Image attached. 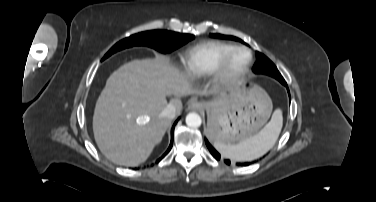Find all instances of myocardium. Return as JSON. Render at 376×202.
<instances>
[{"instance_id":"1","label":"myocardium","mask_w":376,"mask_h":202,"mask_svg":"<svg viewBox=\"0 0 376 202\" xmlns=\"http://www.w3.org/2000/svg\"><path fill=\"white\" fill-rule=\"evenodd\" d=\"M238 53H246L248 58L244 65L238 70H231L229 64L231 59ZM252 62V53L242 46H235L226 52L221 58L216 70L213 73V82L217 86H226L240 80L248 71Z\"/></svg>"}]
</instances>
